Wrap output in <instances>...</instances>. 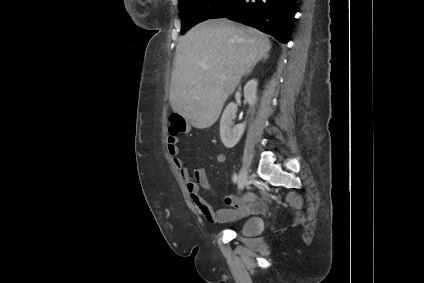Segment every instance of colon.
I'll use <instances>...</instances> for the list:
<instances>
[{"label": "colon", "mask_w": 424, "mask_h": 283, "mask_svg": "<svg viewBox=\"0 0 424 283\" xmlns=\"http://www.w3.org/2000/svg\"><path fill=\"white\" fill-rule=\"evenodd\" d=\"M187 129V124L182 115L178 113H172L169 116V133L173 136H176L180 133L185 132Z\"/></svg>", "instance_id": "colon-1"}]
</instances>
